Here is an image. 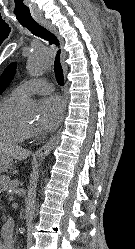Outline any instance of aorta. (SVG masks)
Listing matches in <instances>:
<instances>
[{
  "label": "aorta",
  "mask_w": 135,
  "mask_h": 249,
  "mask_svg": "<svg viewBox=\"0 0 135 249\" xmlns=\"http://www.w3.org/2000/svg\"><path fill=\"white\" fill-rule=\"evenodd\" d=\"M52 63V52L45 46L35 47L31 52L27 61V71L32 77H39L43 75ZM26 109L29 111L34 110V106L31 104L26 105Z\"/></svg>",
  "instance_id": "762f6f07"
}]
</instances>
